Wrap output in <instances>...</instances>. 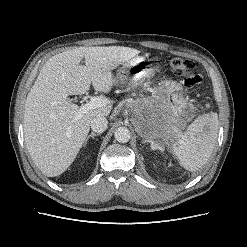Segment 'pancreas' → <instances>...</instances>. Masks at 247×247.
Returning a JSON list of instances; mask_svg holds the SVG:
<instances>
[{
    "label": "pancreas",
    "instance_id": "pancreas-1",
    "mask_svg": "<svg viewBox=\"0 0 247 247\" xmlns=\"http://www.w3.org/2000/svg\"><path fill=\"white\" fill-rule=\"evenodd\" d=\"M133 96H135V94H133ZM137 102L138 100L131 102L130 105L134 106V109H136V107H138Z\"/></svg>",
    "mask_w": 247,
    "mask_h": 247
}]
</instances>
